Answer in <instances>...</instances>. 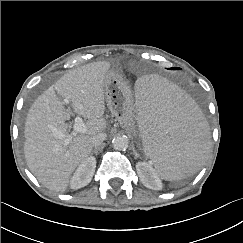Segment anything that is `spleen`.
<instances>
[{"label": "spleen", "instance_id": "3e777b00", "mask_svg": "<svg viewBox=\"0 0 243 243\" xmlns=\"http://www.w3.org/2000/svg\"><path fill=\"white\" fill-rule=\"evenodd\" d=\"M135 127L156 174L177 181L197 170L208 148L203 109L169 78L147 72L135 85Z\"/></svg>", "mask_w": 243, "mask_h": 243}]
</instances>
